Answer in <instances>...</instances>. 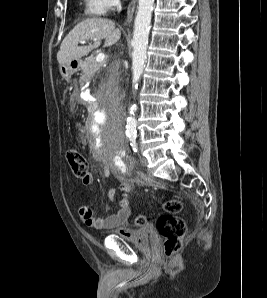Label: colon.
I'll use <instances>...</instances> for the list:
<instances>
[{"instance_id": "obj_1", "label": "colon", "mask_w": 267, "mask_h": 298, "mask_svg": "<svg viewBox=\"0 0 267 298\" xmlns=\"http://www.w3.org/2000/svg\"><path fill=\"white\" fill-rule=\"evenodd\" d=\"M66 160L73 174L82 181L89 176L88 163L83 154L75 149L66 151ZM164 213L157 219V229L164 239V252L166 256L176 254L182 247L186 232L185 221L178 215L182 210V203L178 199H170L163 204ZM147 222L144 215L137 216L134 224L142 226Z\"/></svg>"}]
</instances>
